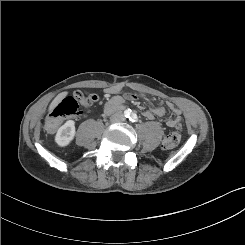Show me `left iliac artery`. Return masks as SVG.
I'll return each instance as SVG.
<instances>
[{"mask_svg":"<svg viewBox=\"0 0 245 245\" xmlns=\"http://www.w3.org/2000/svg\"><path fill=\"white\" fill-rule=\"evenodd\" d=\"M137 115L135 114V113H133L132 115H131V117H130V121L131 122H136L137 121Z\"/></svg>","mask_w":245,"mask_h":245,"instance_id":"44dca946","label":"left iliac artery"}]
</instances>
